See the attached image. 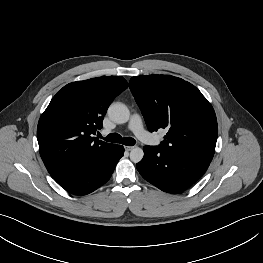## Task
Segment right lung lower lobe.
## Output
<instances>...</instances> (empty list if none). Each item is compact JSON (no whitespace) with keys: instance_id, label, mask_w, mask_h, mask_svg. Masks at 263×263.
Returning <instances> with one entry per match:
<instances>
[{"instance_id":"right-lung-lower-lobe-1","label":"right lung lower lobe","mask_w":263,"mask_h":263,"mask_svg":"<svg viewBox=\"0 0 263 263\" xmlns=\"http://www.w3.org/2000/svg\"><path fill=\"white\" fill-rule=\"evenodd\" d=\"M123 155V146L115 144L110 150L95 157L79 170L57 183L72 194H89L109 180L116 164Z\"/></svg>"}]
</instances>
